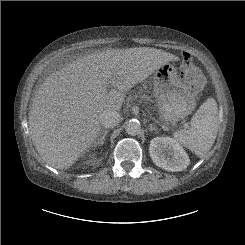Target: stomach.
<instances>
[{
    "mask_svg": "<svg viewBox=\"0 0 245 245\" xmlns=\"http://www.w3.org/2000/svg\"><path fill=\"white\" fill-rule=\"evenodd\" d=\"M153 86L159 116L164 123L174 124L194 110L196 98L172 64L166 63L155 70Z\"/></svg>",
    "mask_w": 245,
    "mask_h": 245,
    "instance_id": "0dacf381",
    "label": "stomach"
}]
</instances>
